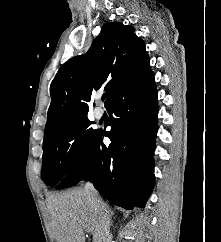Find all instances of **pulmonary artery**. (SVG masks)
Masks as SVG:
<instances>
[{"mask_svg":"<svg viewBox=\"0 0 221 242\" xmlns=\"http://www.w3.org/2000/svg\"><path fill=\"white\" fill-rule=\"evenodd\" d=\"M103 115H104V111H103L102 108H100V107H96V108L94 109V116H95V118H96L97 120L101 119V118L103 117Z\"/></svg>","mask_w":221,"mask_h":242,"instance_id":"e3ab8cb5","label":"pulmonary artery"}]
</instances>
